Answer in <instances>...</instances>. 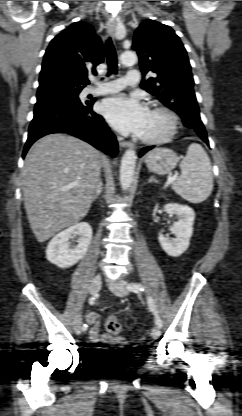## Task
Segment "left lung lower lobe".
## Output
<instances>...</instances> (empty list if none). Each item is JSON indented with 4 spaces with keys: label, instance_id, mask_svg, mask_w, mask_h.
Returning a JSON list of instances; mask_svg holds the SVG:
<instances>
[{
    "label": "left lung lower lobe",
    "instance_id": "1",
    "mask_svg": "<svg viewBox=\"0 0 242 416\" xmlns=\"http://www.w3.org/2000/svg\"><path fill=\"white\" fill-rule=\"evenodd\" d=\"M196 136H198V135H196ZM198 137H199L202 141H204L207 145H209V142H208V139H207V135H201V136H198ZM153 148H154V146H149V147H145V148H143L139 156H142V155H143V154H145L147 151H149V150H151V149H153Z\"/></svg>",
    "mask_w": 242,
    "mask_h": 416
}]
</instances>
